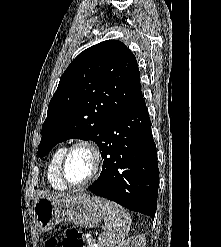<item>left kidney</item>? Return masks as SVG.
Here are the masks:
<instances>
[{
	"label": "left kidney",
	"mask_w": 221,
	"mask_h": 247,
	"mask_svg": "<svg viewBox=\"0 0 221 247\" xmlns=\"http://www.w3.org/2000/svg\"><path fill=\"white\" fill-rule=\"evenodd\" d=\"M145 246H146L145 236L138 235L128 238L117 247H145Z\"/></svg>",
	"instance_id": "left-kidney-1"
}]
</instances>
